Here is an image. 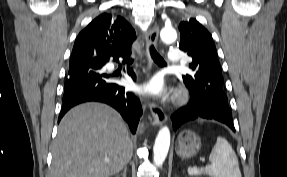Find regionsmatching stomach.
I'll return each mask as SVG.
<instances>
[{
	"label": "stomach",
	"mask_w": 287,
	"mask_h": 177,
	"mask_svg": "<svg viewBox=\"0 0 287 177\" xmlns=\"http://www.w3.org/2000/svg\"><path fill=\"white\" fill-rule=\"evenodd\" d=\"M201 148V138L191 130H183L177 138L176 152L183 159L195 156Z\"/></svg>",
	"instance_id": "0dacf381"
}]
</instances>
